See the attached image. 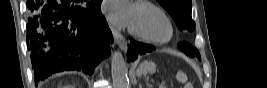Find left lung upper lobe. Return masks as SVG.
I'll return each instance as SVG.
<instances>
[{"label": "left lung upper lobe", "mask_w": 267, "mask_h": 88, "mask_svg": "<svg viewBox=\"0 0 267 88\" xmlns=\"http://www.w3.org/2000/svg\"><path fill=\"white\" fill-rule=\"evenodd\" d=\"M172 16L179 29L192 31L195 22L192 20L191 0H157Z\"/></svg>", "instance_id": "obj_1"}]
</instances>
